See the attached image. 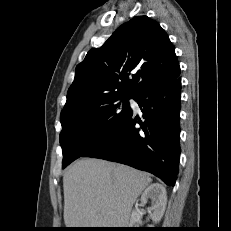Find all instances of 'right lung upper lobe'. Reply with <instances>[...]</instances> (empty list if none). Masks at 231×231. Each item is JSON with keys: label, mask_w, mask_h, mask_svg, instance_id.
Listing matches in <instances>:
<instances>
[{"label": "right lung upper lobe", "mask_w": 231, "mask_h": 231, "mask_svg": "<svg viewBox=\"0 0 231 231\" xmlns=\"http://www.w3.org/2000/svg\"><path fill=\"white\" fill-rule=\"evenodd\" d=\"M179 75L167 33L147 16L134 17L77 65L61 116L119 97H135L144 88Z\"/></svg>", "instance_id": "cb5924a9"}]
</instances>
